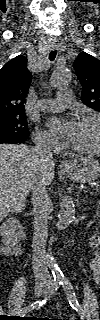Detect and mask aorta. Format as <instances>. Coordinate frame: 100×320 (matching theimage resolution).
Instances as JSON below:
<instances>
[{
  "instance_id": "762f6f07",
  "label": "aorta",
  "mask_w": 100,
  "mask_h": 320,
  "mask_svg": "<svg viewBox=\"0 0 100 320\" xmlns=\"http://www.w3.org/2000/svg\"><path fill=\"white\" fill-rule=\"evenodd\" d=\"M71 79V72L67 68L56 69L51 76V83L54 86L65 85ZM75 216V204L70 196H62L60 201V211L58 221L56 224L57 229H64L70 225ZM55 239L52 237L48 241L49 246L54 243ZM47 264L52 269L53 277L56 279H63L64 275L58 267L56 260L53 256L51 248L46 252Z\"/></svg>"
}]
</instances>
